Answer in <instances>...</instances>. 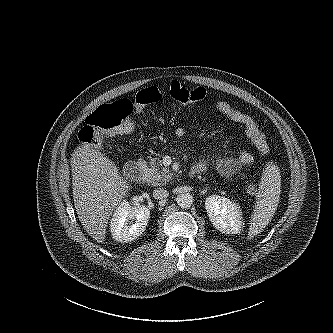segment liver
<instances>
[{
  "mask_svg": "<svg viewBox=\"0 0 333 333\" xmlns=\"http://www.w3.org/2000/svg\"><path fill=\"white\" fill-rule=\"evenodd\" d=\"M74 206L86 232L103 243L108 220L129 190L117 166L89 144L71 155Z\"/></svg>",
  "mask_w": 333,
  "mask_h": 333,
  "instance_id": "obj_1",
  "label": "liver"
}]
</instances>
